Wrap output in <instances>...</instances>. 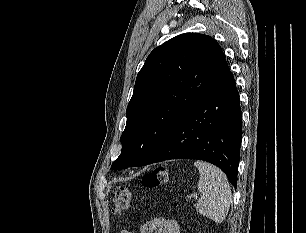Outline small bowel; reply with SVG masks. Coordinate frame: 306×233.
<instances>
[{
	"label": "small bowel",
	"instance_id": "1",
	"mask_svg": "<svg viewBox=\"0 0 306 233\" xmlns=\"http://www.w3.org/2000/svg\"><path fill=\"white\" fill-rule=\"evenodd\" d=\"M121 233H132L127 229H123ZM139 233H180V226L174 219L164 217H156L146 221L139 230Z\"/></svg>",
	"mask_w": 306,
	"mask_h": 233
}]
</instances>
